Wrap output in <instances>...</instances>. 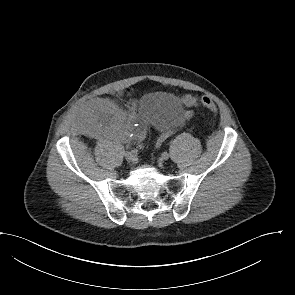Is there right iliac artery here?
<instances>
[{
	"instance_id": "82829eb1",
	"label": "right iliac artery",
	"mask_w": 295,
	"mask_h": 295,
	"mask_svg": "<svg viewBox=\"0 0 295 295\" xmlns=\"http://www.w3.org/2000/svg\"><path fill=\"white\" fill-rule=\"evenodd\" d=\"M130 153L133 154V155H136L137 154L136 150H131Z\"/></svg>"
}]
</instances>
